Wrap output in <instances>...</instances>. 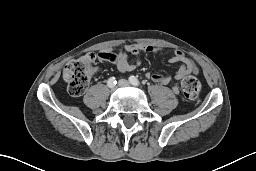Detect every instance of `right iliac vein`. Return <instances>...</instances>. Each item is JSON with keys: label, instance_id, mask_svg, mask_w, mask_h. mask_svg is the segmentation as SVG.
<instances>
[{"label": "right iliac vein", "instance_id": "obj_1", "mask_svg": "<svg viewBox=\"0 0 256 171\" xmlns=\"http://www.w3.org/2000/svg\"><path fill=\"white\" fill-rule=\"evenodd\" d=\"M111 88V92H115L116 91V89H117V86H112V87H110Z\"/></svg>", "mask_w": 256, "mask_h": 171}]
</instances>
